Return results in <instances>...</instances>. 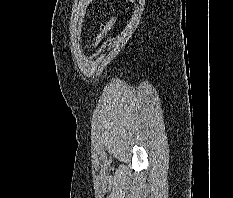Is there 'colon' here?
<instances>
[{
	"label": "colon",
	"mask_w": 233,
	"mask_h": 198,
	"mask_svg": "<svg viewBox=\"0 0 233 198\" xmlns=\"http://www.w3.org/2000/svg\"><path fill=\"white\" fill-rule=\"evenodd\" d=\"M120 15L121 14L118 13L116 16H114L112 19H110L106 23V25L103 27V29L100 31V33L97 35L95 45H98L101 42V40L112 30V28L118 22Z\"/></svg>",
	"instance_id": "obj_1"
}]
</instances>
